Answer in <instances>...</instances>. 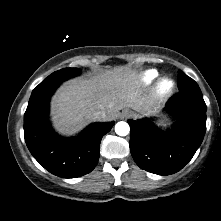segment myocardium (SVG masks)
<instances>
[{
  "instance_id": "1",
  "label": "myocardium",
  "mask_w": 221,
  "mask_h": 221,
  "mask_svg": "<svg viewBox=\"0 0 221 221\" xmlns=\"http://www.w3.org/2000/svg\"><path fill=\"white\" fill-rule=\"evenodd\" d=\"M174 89L175 82L168 77L161 78L156 84V94L161 99L170 96Z\"/></svg>"
}]
</instances>
